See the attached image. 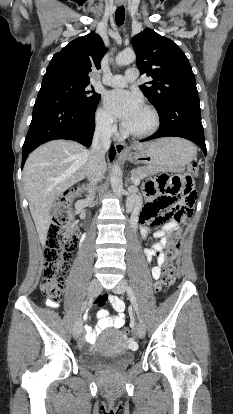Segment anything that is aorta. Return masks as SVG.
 <instances>
[{
	"label": "aorta",
	"mask_w": 233,
	"mask_h": 414,
	"mask_svg": "<svg viewBox=\"0 0 233 414\" xmlns=\"http://www.w3.org/2000/svg\"><path fill=\"white\" fill-rule=\"evenodd\" d=\"M135 59H136V55L134 51L125 50L117 55L116 64L119 66L128 65V64L133 63ZM110 183H111V187H112L114 194L119 197L122 196L124 192L123 182H122V171L118 163H115L111 169Z\"/></svg>",
	"instance_id": "aorta-1"
}]
</instances>
